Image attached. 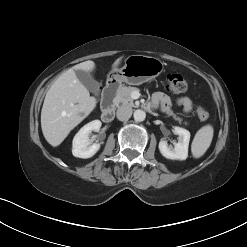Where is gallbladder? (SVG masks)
Segmentation results:
<instances>
[{"instance_id":"bac80fb5","label":"gallbladder","mask_w":247,"mask_h":247,"mask_svg":"<svg viewBox=\"0 0 247 247\" xmlns=\"http://www.w3.org/2000/svg\"><path fill=\"white\" fill-rule=\"evenodd\" d=\"M77 78L79 81L93 94H98L100 92V86L97 81H95L90 73L83 70L75 71Z\"/></svg>"}]
</instances>
